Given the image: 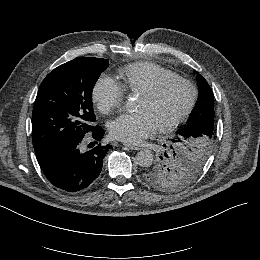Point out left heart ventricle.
Here are the masks:
<instances>
[{"label":"left heart ventricle","instance_id":"1","mask_svg":"<svg viewBox=\"0 0 260 260\" xmlns=\"http://www.w3.org/2000/svg\"><path fill=\"white\" fill-rule=\"evenodd\" d=\"M159 80L155 75L151 87H154ZM190 98L191 90L188 86L180 82H173L156 97L138 94L136 108L147 110L157 127L178 116L186 108Z\"/></svg>","mask_w":260,"mask_h":260}]
</instances>
